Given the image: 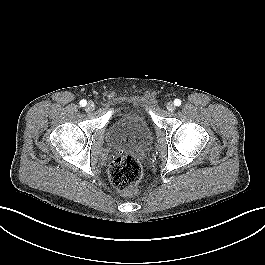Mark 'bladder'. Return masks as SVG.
Wrapping results in <instances>:
<instances>
[{
  "label": "bladder",
  "mask_w": 265,
  "mask_h": 265,
  "mask_svg": "<svg viewBox=\"0 0 265 265\" xmlns=\"http://www.w3.org/2000/svg\"><path fill=\"white\" fill-rule=\"evenodd\" d=\"M110 140L122 147L142 149L150 145L153 132L146 113L132 108L108 127Z\"/></svg>",
  "instance_id": "31cf9c89"
}]
</instances>
